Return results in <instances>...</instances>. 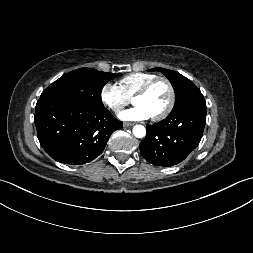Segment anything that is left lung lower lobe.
<instances>
[{
	"mask_svg": "<svg viewBox=\"0 0 253 253\" xmlns=\"http://www.w3.org/2000/svg\"><path fill=\"white\" fill-rule=\"evenodd\" d=\"M206 124V103L194 87L167 118L147 126L140 153L148 162L163 167L179 164L200 143Z\"/></svg>",
	"mask_w": 253,
	"mask_h": 253,
	"instance_id": "left-lung-lower-lobe-1",
	"label": "left lung lower lobe"
}]
</instances>
